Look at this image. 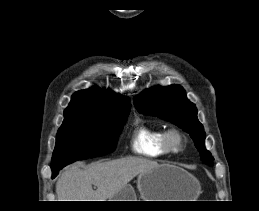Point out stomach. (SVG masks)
<instances>
[{
    "label": "stomach",
    "mask_w": 259,
    "mask_h": 211,
    "mask_svg": "<svg viewBox=\"0 0 259 211\" xmlns=\"http://www.w3.org/2000/svg\"><path fill=\"white\" fill-rule=\"evenodd\" d=\"M137 188L144 201H190L197 195L196 179L185 170L168 164L143 172ZM109 201H137L134 188L127 184Z\"/></svg>",
    "instance_id": "0dacf381"
}]
</instances>
